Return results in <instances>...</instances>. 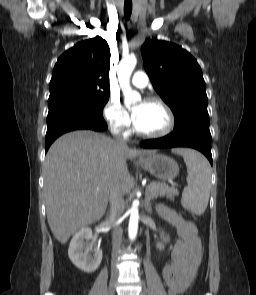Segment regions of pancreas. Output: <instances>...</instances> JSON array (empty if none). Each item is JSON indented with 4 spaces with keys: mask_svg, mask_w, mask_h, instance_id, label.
Instances as JSON below:
<instances>
[{
    "mask_svg": "<svg viewBox=\"0 0 256 295\" xmlns=\"http://www.w3.org/2000/svg\"><path fill=\"white\" fill-rule=\"evenodd\" d=\"M147 197L157 198L158 196L167 197L174 200V196L179 194L175 186H168L165 183L151 182L146 188Z\"/></svg>",
    "mask_w": 256,
    "mask_h": 295,
    "instance_id": "obj_1",
    "label": "pancreas"
}]
</instances>
